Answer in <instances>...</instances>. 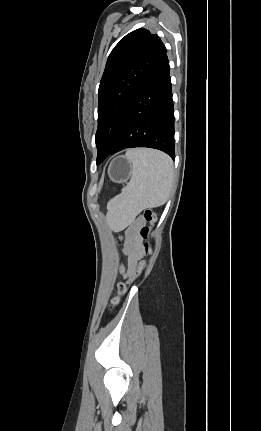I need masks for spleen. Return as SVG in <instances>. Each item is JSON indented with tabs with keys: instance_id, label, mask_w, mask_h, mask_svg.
<instances>
[{
	"instance_id": "spleen-1",
	"label": "spleen",
	"mask_w": 261,
	"mask_h": 431,
	"mask_svg": "<svg viewBox=\"0 0 261 431\" xmlns=\"http://www.w3.org/2000/svg\"><path fill=\"white\" fill-rule=\"evenodd\" d=\"M126 159L132 165L130 182L108 204L111 213L137 215L146 208L163 205L170 194L174 167L171 158L157 150L131 149Z\"/></svg>"
}]
</instances>
